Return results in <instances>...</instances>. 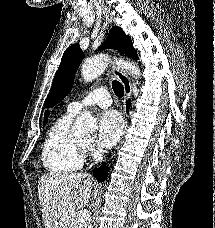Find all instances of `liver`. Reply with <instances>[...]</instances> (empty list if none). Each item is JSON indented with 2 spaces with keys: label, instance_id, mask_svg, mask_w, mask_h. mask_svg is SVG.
<instances>
[{
  "label": "liver",
  "instance_id": "obj_1",
  "mask_svg": "<svg viewBox=\"0 0 215 228\" xmlns=\"http://www.w3.org/2000/svg\"><path fill=\"white\" fill-rule=\"evenodd\" d=\"M95 180L86 174L49 172L39 178L38 200L45 228H76L77 206H88Z\"/></svg>",
  "mask_w": 215,
  "mask_h": 228
}]
</instances>
